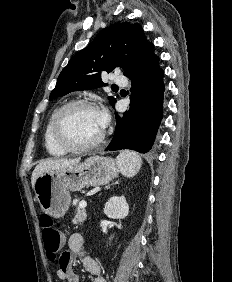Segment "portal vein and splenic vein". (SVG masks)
Returning a JSON list of instances; mask_svg holds the SVG:
<instances>
[{
    "label": "portal vein and splenic vein",
    "instance_id": "1",
    "mask_svg": "<svg viewBox=\"0 0 232 282\" xmlns=\"http://www.w3.org/2000/svg\"><path fill=\"white\" fill-rule=\"evenodd\" d=\"M86 206H87V202H86V201H81V202L79 203V208H81V209H85Z\"/></svg>",
    "mask_w": 232,
    "mask_h": 282
}]
</instances>
